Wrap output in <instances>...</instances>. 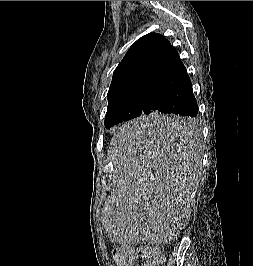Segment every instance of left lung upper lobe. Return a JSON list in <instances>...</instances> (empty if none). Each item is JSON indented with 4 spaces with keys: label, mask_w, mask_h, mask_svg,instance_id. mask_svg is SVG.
<instances>
[{
    "label": "left lung upper lobe",
    "mask_w": 253,
    "mask_h": 266,
    "mask_svg": "<svg viewBox=\"0 0 253 266\" xmlns=\"http://www.w3.org/2000/svg\"><path fill=\"white\" fill-rule=\"evenodd\" d=\"M170 42L162 35L149 33L132 44L113 72L107 94L108 108L105 127L142 116L145 95L151 79L159 66Z\"/></svg>",
    "instance_id": "obj_1"
}]
</instances>
